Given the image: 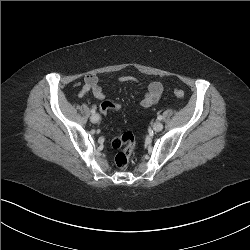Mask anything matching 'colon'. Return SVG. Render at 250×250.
I'll return each instance as SVG.
<instances>
[{
	"label": "colon",
	"instance_id": "1",
	"mask_svg": "<svg viewBox=\"0 0 250 250\" xmlns=\"http://www.w3.org/2000/svg\"><path fill=\"white\" fill-rule=\"evenodd\" d=\"M174 94L177 98L183 99L185 94L182 89L176 88ZM109 109L115 112H121L122 106L114 103L112 101H104L101 104V110L105 114ZM111 145L115 149H120V151L115 156V165L119 169L125 168L130 160V157L136 146V139L132 132H125L120 136L114 138Z\"/></svg>",
	"mask_w": 250,
	"mask_h": 250
}]
</instances>
